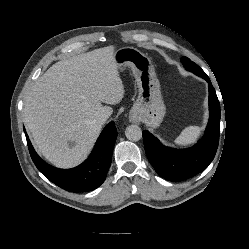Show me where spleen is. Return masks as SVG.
<instances>
[{
	"instance_id": "1",
	"label": "spleen",
	"mask_w": 249,
	"mask_h": 249,
	"mask_svg": "<svg viewBox=\"0 0 249 249\" xmlns=\"http://www.w3.org/2000/svg\"><path fill=\"white\" fill-rule=\"evenodd\" d=\"M201 133V129L198 126H188L181 134L175 139V143L181 146L193 144Z\"/></svg>"
}]
</instances>
